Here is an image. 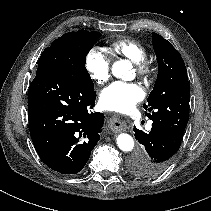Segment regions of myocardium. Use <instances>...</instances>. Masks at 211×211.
<instances>
[{
    "label": "myocardium",
    "mask_w": 211,
    "mask_h": 211,
    "mask_svg": "<svg viewBox=\"0 0 211 211\" xmlns=\"http://www.w3.org/2000/svg\"><path fill=\"white\" fill-rule=\"evenodd\" d=\"M137 73L141 76H149L151 74V65L148 61L141 60L135 63Z\"/></svg>",
    "instance_id": "myocardium-1"
}]
</instances>
